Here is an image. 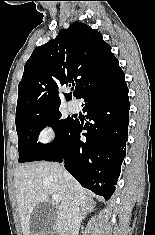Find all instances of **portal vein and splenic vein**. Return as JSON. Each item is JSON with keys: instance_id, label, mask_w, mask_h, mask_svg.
<instances>
[{"instance_id": "obj_1", "label": "portal vein and splenic vein", "mask_w": 155, "mask_h": 235, "mask_svg": "<svg viewBox=\"0 0 155 235\" xmlns=\"http://www.w3.org/2000/svg\"><path fill=\"white\" fill-rule=\"evenodd\" d=\"M52 199L56 202L60 201L59 195H52Z\"/></svg>"}]
</instances>
